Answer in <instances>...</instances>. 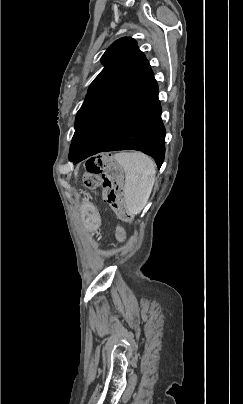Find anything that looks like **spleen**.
I'll use <instances>...</instances> for the list:
<instances>
[{
	"mask_svg": "<svg viewBox=\"0 0 243 404\" xmlns=\"http://www.w3.org/2000/svg\"><path fill=\"white\" fill-rule=\"evenodd\" d=\"M115 160L125 172L124 200L131 216L145 208L155 180V164L142 152H121Z\"/></svg>",
	"mask_w": 243,
	"mask_h": 404,
	"instance_id": "3e777b00",
	"label": "spleen"
}]
</instances>
